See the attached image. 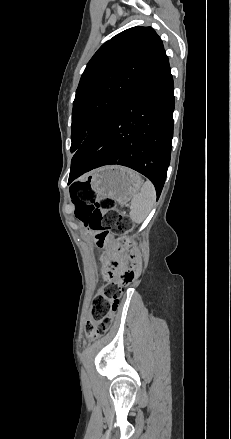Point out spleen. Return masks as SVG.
Returning a JSON list of instances; mask_svg holds the SVG:
<instances>
[{"label": "spleen", "mask_w": 231, "mask_h": 439, "mask_svg": "<svg viewBox=\"0 0 231 439\" xmlns=\"http://www.w3.org/2000/svg\"><path fill=\"white\" fill-rule=\"evenodd\" d=\"M156 200V191L150 181H146L131 200L130 218L133 222L141 223L151 211Z\"/></svg>", "instance_id": "spleen-1"}]
</instances>
